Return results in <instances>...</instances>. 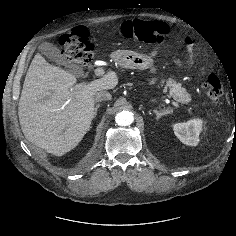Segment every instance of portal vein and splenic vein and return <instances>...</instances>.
Returning a JSON list of instances; mask_svg holds the SVG:
<instances>
[{"instance_id": "obj_1", "label": "portal vein and splenic vein", "mask_w": 236, "mask_h": 236, "mask_svg": "<svg viewBox=\"0 0 236 236\" xmlns=\"http://www.w3.org/2000/svg\"><path fill=\"white\" fill-rule=\"evenodd\" d=\"M95 75L96 76H103L104 75V70L102 69V68H97V69H95ZM172 104L175 106V107H179V104L177 103V102H172Z\"/></svg>"}]
</instances>
